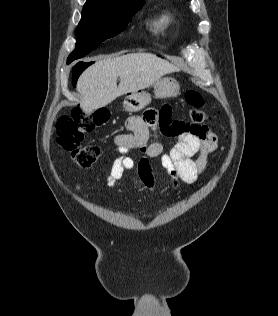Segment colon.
Instances as JSON below:
<instances>
[{"label": "colon", "mask_w": 278, "mask_h": 316, "mask_svg": "<svg viewBox=\"0 0 278 316\" xmlns=\"http://www.w3.org/2000/svg\"><path fill=\"white\" fill-rule=\"evenodd\" d=\"M185 100L191 106V123H176L170 131L172 134L181 131L199 133L211 119V115L203 108L204 99L198 91L188 90ZM107 120L108 114L105 111L99 110L88 114L79 108H74L69 115H64L58 120L57 142L63 149L71 153L78 166L88 168L98 160L101 152L95 145L82 146V142L87 133L93 132Z\"/></svg>", "instance_id": "obj_1"}]
</instances>
